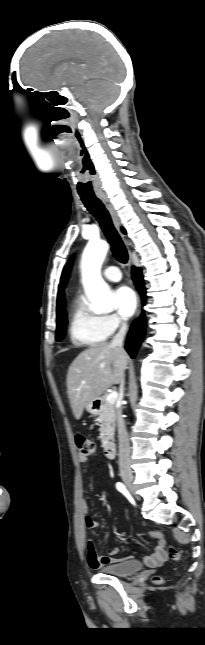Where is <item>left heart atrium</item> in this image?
I'll return each instance as SVG.
<instances>
[{
  "label": "left heart atrium",
  "instance_id": "left-heart-atrium-1",
  "mask_svg": "<svg viewBox=\"0 0 205 645\" xmlns=\"http://www.w3.org/2000/svg\"><path fill=\"white\" fill-rule=\"evenodd\" d=\"M113 296L118 313L124 319L131 317L137 306V299L134 292L127 286H121L114 291Z\"/></svg>",
  "mask_w": 205,
  "mask_h": 645
}]
</instances>
